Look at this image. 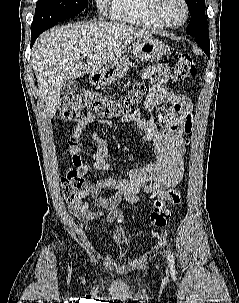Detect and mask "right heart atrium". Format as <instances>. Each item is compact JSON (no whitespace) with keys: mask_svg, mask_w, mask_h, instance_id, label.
I'll return each instance as SVG.
<instances>
[{"mask_svg":"<svg viewBox=\"0 0 239 303\" xmlns=\"http://www.w3.org/2000/svg\"><path fill=\"white\" fill-rule=\"evenodd\" d=\"M95 1L98 9L102 12H106L112 4V0H95Z\"/></svg>","mask_w":239,"mask_h":303,"instance_id":"obj_1","label":"right heart atrium"}]
</instances>
